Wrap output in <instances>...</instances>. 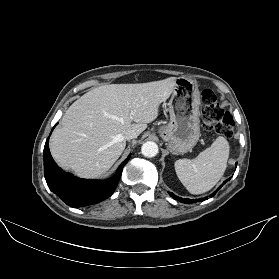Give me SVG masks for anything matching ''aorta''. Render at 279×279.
<instances>
[{
  "mask_svg": "<svg viewBox=\"0 0 279 279\" xmlns=\"http://www.w3.org/2000/svg\"><path fill=\"white\" fill-rule=\"evenodd\" d=\"M141 152L145 157H155L159 152L158 145L153 141H147L142 145Z\"/></svg>",
  "mask_w": 279,
  "mask_h": 279,
  "instance_id": "aorta-1",
  "label": "aorta"
}]
</instances>
